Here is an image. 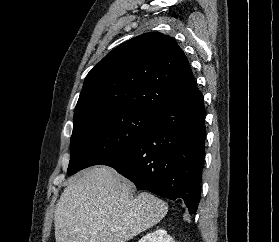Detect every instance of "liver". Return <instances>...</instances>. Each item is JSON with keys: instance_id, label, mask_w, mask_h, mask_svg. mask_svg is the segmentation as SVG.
Instances as JSON below:
<instances>
[{"instance_id": "obj_1", "label": "liver", "mask_w": 279, "mask_h": 242, "mask_svg": "<svg viewBox=\"0 0 279 242\" xmlns=\"http://www.w3.org/2000/svg\"><path fill=\"white\" fill-rule=\"evenodd\" d=\"M132 188L107 166L71 177L55 209L56 242H126L158 223L166 202L148 192L133 198Z\"/></svg>"}]
</instances>
